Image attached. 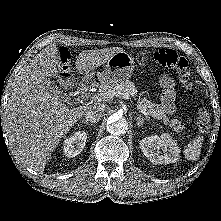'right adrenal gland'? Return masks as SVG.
Returning <instances> with one entry per match:
<instances>
[{
  "mask_svg": "<svg viewBox=\"0 0 221 221\" xmlns=\"http://www.w3.org/2000/svg\"><path fill=\"white\" fill-rule=\"evenodd\" d=\"M82 122H83L84 124H86V125H91V126H93V124H90L87 120H82Z\"/></svg>",
  "mask_w": 221,
  "mask_h": 221,
  "instance_id": "1",
  "label": "right adrenal gland"
}]
</instances>
